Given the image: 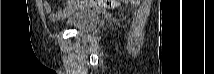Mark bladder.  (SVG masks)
Instances as JSON below:
<instances>
[{
    "instance_id": "obj_1",
    "label": "bladder",
    "mask_w": 214,
    "mask_h": 74,
    "mask_svg": "<svg viewBox=\"0 0 214 74\" xmlns=\"http://www.w3.org/2000/svg\"><path fill=\"white\" fill-rule=\"evenodd\" d=\"M100 14L90 9H80L69 12L65 16V23L75 30L85 32L91 30L99 21Z\"/></svg>"
}]
</instances>
